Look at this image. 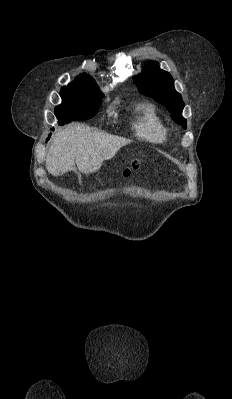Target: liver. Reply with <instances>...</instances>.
Returning a JSON list of instances; mask_svg holds the SVG:
<instances>
[{
	"label": "liver",
	"mask_w": 232,
	"mask_h": 399,
	"mask_svg": "<svg viewBox=\"0 0 232 399\" xmlns=\"http://www.w3.org/2000/svg\"><path fill=\"white\" fill-rule=\"evenodd\" d=\"M131 140L104 132H91L84 124H69L53 136L46 156V168L52 176L75 170L82 174L98 172L104 160H112Z\"/></svg>",
	"instance_id": "obj_1"
}]
</instances>
